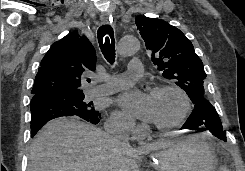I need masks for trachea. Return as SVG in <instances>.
Masks as SVG:
<instances>
[{
  "label": "trachea",
  "instance_id": "trachea-1",
  "mask_svg": "<svg viewBox=\"0 0 245 171\" xmlns=\"http://www.w3.org/2000/svg\"><path fill=\"white\" fill-rule=\"evenodd\" d=\"M98 42L105 59L113 64L115 61V39L113 28L110 25L105 24L98 29Z\"/></svg>",
  "mask_w": 245,
  "mask_h": 171
}]
</instances>
